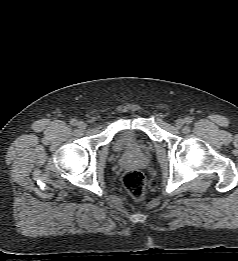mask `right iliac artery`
Returning a JSON list of instances; mask_svg holds the SVG:
<instances>
[{"mask_svg": "<svg viewBox=\"0 0 238 261\" xmlns=\"http://www.w3.org/2000/svg\"><path fill=\"white\" fill-rule=\"evenodd\" d=\"M70 124L73 125V126H75V125L78 124V122H77L76 119H72V120L70 121Z\"/></svg>", "mask_w": 238, "mask_h": 261, "instance_id": "obj_1", "label": "right iliac artery"}]
</instances>
